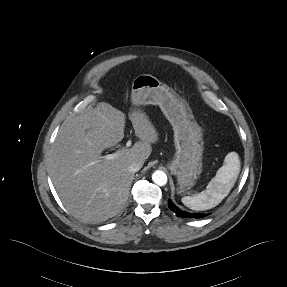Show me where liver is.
Listing matches in <instances>:
<instances>
[{"label":"liver","mask_w":287,"mask_h":287,"mask_svg":"<svg viewBox=\"0 0 287 287\" xmlns=\"http://www.w3.org/2000/svg\"><path fill=\"white\" fill-rule=\"evenodd\" d=\"M129 119L139 138L121 148L113 160L100 159L104 149L124 138L125 115L108 103L84 110L60 127L49 158V174L66 209L85 223L106 221L121 212L129 196L132 162L142 165L158 133L145 112L131 110Z\"/></svg>","instance_id":"1"}]
</instances>
